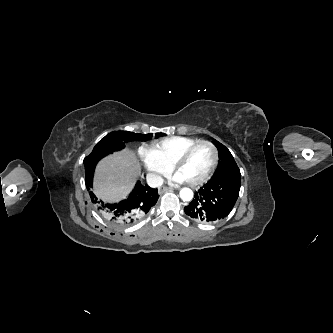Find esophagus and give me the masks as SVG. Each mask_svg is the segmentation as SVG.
<instances>
[{"label":"esophagus","instance_id":"34e87169","mask_svg":"<svg viewBox=\"0 0 333 333\" xmlns=\"http://www.w3.org/2000/svg\"><path fill=\"white\" fill-rule=\"evenodd\" d=\"M171 190H173V188L164 186V187L160 188L159 193L162 194L164 192L171 191Z\"/></svg>","mask_w":333,"mask_h":333}]
</instances>
